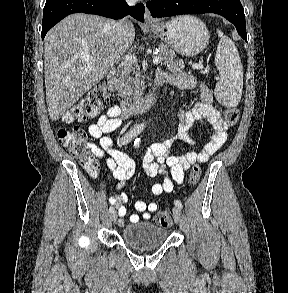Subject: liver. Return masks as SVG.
I'll list each match as a JSON object with an SVG mask.
<instances>
[{
  "mask_svg": "<svg viewBox=\"0 0 288 293\" xmlns=\"http://www.w3.org/2000/svg\"><path fill=\"white\" fill-rule=\"evenodd\" d=\"M116 21L76 13L53 27L45 37L44 66L46 101L54 121L89 89L100 82L114 63L133 44L135 29L127 20L119 35ZM92 55L91 61L81 58Z\"/></svg>",
  "mask_w": 288,
  "mask_h": 293,
  "instance_id": "6515ba94",
  "label": "liver"
}]
</instances>
